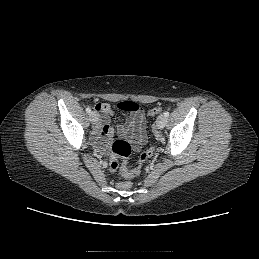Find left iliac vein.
Listing matches in <instances>:
<instances>
[{
    "mask_svg": "<svg viewBox=\"0 0 259 259\" xmlns=\"http://www.w3.org/2000/svg\"><path fill=\"white\" fill-rule=\"evenodd\" d=\"M166 125V117L161 114L156 120V126L158 129H163Z\"/></svg>",
    "mask_w": 259,
    "mask_h": 259,
    "instance_id": "1",
    "label": "left iliac vein"
}]
</instances>
